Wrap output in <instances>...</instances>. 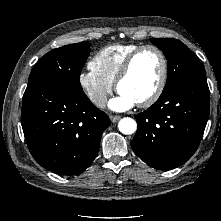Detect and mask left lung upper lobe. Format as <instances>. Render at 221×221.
I'll return each instance as SVG.
<instances>
[{
	"instance_id": "left-lung-upper-lobe-1",
	"label": "left lung upper lobe",
	"mask_w": 221,
	"mask_h": 221,
	"mask_svg": "<svg viewBox=\"0 0 221 221\" xmlns=\"http://www.w3.org/2000/svg\"><path fill=\"white\" fill-rule=\"evenodd\" d=\"M151 42L163 51L168 63V76L163 92L194 76H206L205 69L189 48L171 38H152Z\"/></svg>"
}]
</instances>
